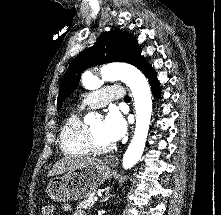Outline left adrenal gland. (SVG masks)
<instances>
[{
	"mask_svg": "<svg viewBox=\"0 0 221 215\" xmlns=\"http://www.w3.org/2000/svg\"><path fill=\"white\" fill-rule=\"evenodd\" d=\"M110 188L108 187L106 192H105V197L103 198V200L101 202H106L110 197H112L113 195H111L109 193Z\"/></svg>",
	"mask_w": 221,
	"mask_h": 215,
	"instance_id": "a2214340",
	"label": "left adrenal gland"
}]
</instances>
